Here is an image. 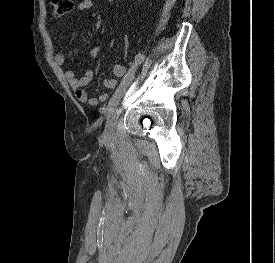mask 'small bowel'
Wrapping results in <instances>:
<instances>
[{
  "instance_id": "obj_1",
  "label": "small bowel",
  "mask_w": 275,
  "mask_h": 263,
  "mask_svg": "<svg viewBox=\"0 0 275 263\" xmlns=\"http://www.w3.org/2000/svg\"><path fill=\"white\" fill-rule=\"evenodd\" d=\"M93 7L92 0H81L77 6L79 13L86 12ZM101 45L96 44L91 48L92 56H97L100 52ZM55 63L62 67L65 63V57L62 53H58L54 56ZM127 67L121 64L114 66V77L107 78L104 81V86L108 92L104 93L100 97H90L85 87L92 83L95 79L93 70L88 69L82 77H78L73 70H66L64 72L65 78L68 81L70 87L74 91L75 97L81 102H88L91 106H97L100 103L106 102L110 99L112 92L118 89L120 81L127 75Z\"/></svg>"
}]
</instances>
